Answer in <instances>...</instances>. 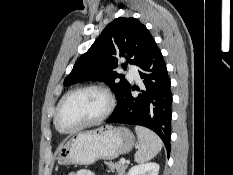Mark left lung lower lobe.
<instances>
[{
	"label": "left lung lower lobe",
	"mask_w": 233,
	"mask_h": 175,
	"mask_svg": "<svg viewBox=\"0 0 233 175\" xmlns=\"http://www.w3.org/2000/svg\"><path fill=\"white\" fill-rule=\"evenodd\" d=\"M144 89L133 97L130 88L124 94L119 106L107 119L108 123L140 125L153 130L165 144L170 154L171 136V82L160 49L155 45L139 66Z\"/></svg>",
	"instance_id": "obj_1"
}]
</instances>
